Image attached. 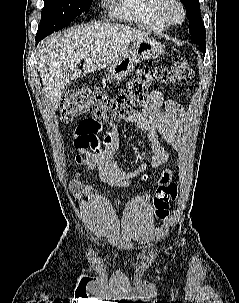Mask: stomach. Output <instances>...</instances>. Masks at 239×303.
<instances>
[{
	"label": "stomach",
	"instance_id": "0dacf381",
	"mask_svg": "<svg viewBox=\"0 0 239 303\" xmlns=\"http://www.w3.org/2000/svg\"><path fill=\"white\" fill-rule=\"evenodd\" d=\"M163 53L164 47L156 39L146 37L137 40L107 67L108 78L112 81H120L127 77L141 61L156 59Z\"/></svg>",
	"mask_w": 239,
	"mask_h": 303
}]
</instances>
